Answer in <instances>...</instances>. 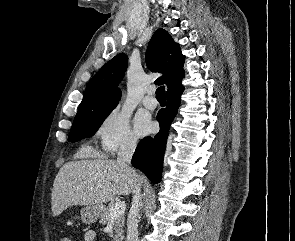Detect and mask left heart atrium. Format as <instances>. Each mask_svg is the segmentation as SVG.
<instances>
[{"instance_id":"left-heart-atrium-1","label":"left heart atrium","mask_w":295,"mask_h":241,"mask_svg":"<svg viewBox=\"0 0 295 241\" xmlns=\"http://www.w3.org/2000/svg\"><path fill=\"white\" fill-rule=\"evenodd\" d=\"M135 131L139 136L149 133L152 129L150 120L143 115H137L134 120Z\"/></svg>"}]
</instances>
